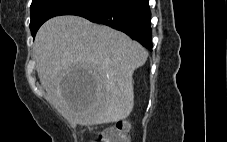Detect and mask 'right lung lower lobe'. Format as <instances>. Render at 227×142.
<instances>
[{
	"label": "right lung lower lobe",
	"instance_id": "98d812e1",
	"mask_svg": "<svg viewBox=\"0 0 227 142\" xmlns=\"http://www.w3.org/2000/svg\"><path fill=\"white\" fill-rule=\"evenodd\" d=\"M78 16L122 31L152 50L148 0H110L105 5Z\"/></svg>",
	"mask_w": 227,
	"mask_h": 142
}]
</instances>
